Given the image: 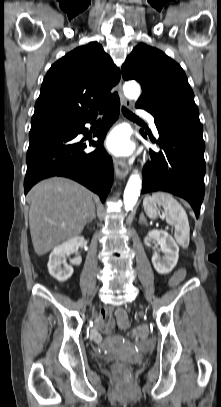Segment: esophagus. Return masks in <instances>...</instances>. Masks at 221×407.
<instances>
[{
  "label": "esophagus",
  "instance_id": "esophagus-1",
  "mask_svg": "<svg viewBox=\"0 0 221 407\" xmlns=\"http://www.w3.org/2000/svg\"><path fill=\"white\" fill-rule=\"evenodd\" d=\"M121 83H122V78L119 81L117 88H118V93L121 99V102L124 106L126 107H130L131 106V102L129 100H127L123 93H122V88H121ZM114 168H115V173L116 176L120 179L124 178L125 176H127V174L129 173V167L126 164L125 161L117 159L114 161Z\"/></svg>",
  "mask_w": 221,
  "mask_h": 407
}]
</instances>
